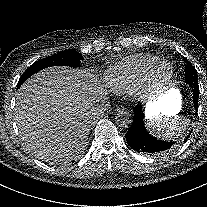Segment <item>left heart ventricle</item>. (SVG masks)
Listing matches in <instances>:
<instances>
[{
	"label": "left heart ventricle",
	"mask_w": 207,
	"mask_h": 207,
	"mask_svg": "<svg viewBox=\"0 0 207 207\" xmlns=\"http://www.w3.org/2000/svg\"><path fill=\"white\" fill-rule=\"evenodd\" d=\"M169 72H170L169 66L162 67L156 75L157 80H162L163 78H165L169 74Z\"/></svg>",
	"instance_id": "left-heart-ventricle-1"
}]
</instances>
